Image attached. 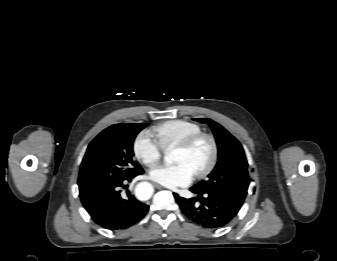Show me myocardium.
Listing matches in <instances>:
<instances>
[{"label":"myocardium","mask_w":337,"mask_h":261,"mask_svg":"<svg viewBox=\"0 0 337 261\" xmlns=\"http://www.w3.org/2000/svg\"><path fill=\"white\" fill-rule=\"evenodd\" d=\"M203 140H207L211 145V158L208 164L203 169L194 173L195 177L197 178L206 177L216 167L219 158V145L216 138L212 134L201 132L189 137L188 139H186L185 141L181 142L179 145L176 146V149L189 151Z\"/></svg>","instance_id":"myocardium-1"}]
</instances>
